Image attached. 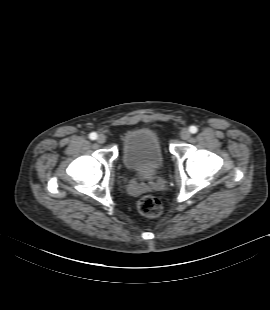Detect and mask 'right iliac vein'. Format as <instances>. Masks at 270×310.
Instances as JSON below:
<instances>
[{
  "mask_svg": "<svg viewBox=\"0 0 270 310\" xmlns=\"http://www.w3.org/2000/svg\"><path fill=\"white\" fill-rule=\"evenodd\" d=\"M105 141H106L105 135L101 134V135L98 136L97 142H98L99 144H103V143H105Z\"/></svg>",
  "mask_w": 270,
  "mask_h": 310,
  "instance_id": "right-iliac-vein-1",
  "label": "right iliac vein"
}]
</instances>
